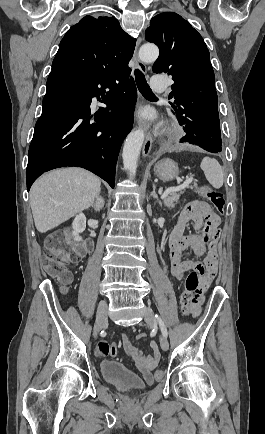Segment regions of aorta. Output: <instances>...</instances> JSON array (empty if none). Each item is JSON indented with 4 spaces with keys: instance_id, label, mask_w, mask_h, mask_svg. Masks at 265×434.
Returning a JSON list of instances; mask_svg holds the SVG:
<instances>
[{
    "instance_id": "1",
    "label": "aorta",
    "mask_w": 265,
    "mask_h": 434,
    "mask_svg": "<svg viewBox=\"0 0 265 434\" xmlns=\"http://www.w3.org/2000/svg\"><path fill=\"white\" fill-rule=\"evenodd\" d=\"M159 56V50L154 44H144L139 50V58L142 62H155ZM143 130H133L126 138V142L123 148V164L124 170L130 172V176H135L137 162L144 142Z\"/></svg>"
}]
</instances>
